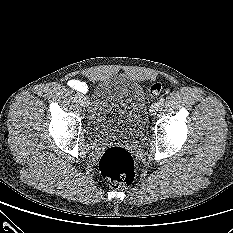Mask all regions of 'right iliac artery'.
Masks as SVG:
<instances>
[{
	"label": "right iliac artery",
	"instance_id": "1",
	"mask_svg": "<svg viewBox=\"0 0 233 233\" xmlns=\"http://www.w3.org/2000/svg\"><path fill=\"white\" fill-rule=\"evenodd\" d=\"M80 97H81V95H80L79 93H76V94H75V98H76V99H78V98H80Z\"/></svg>",
	"mask_w": 233,
	"mask_h": 233
}]
</instances>
